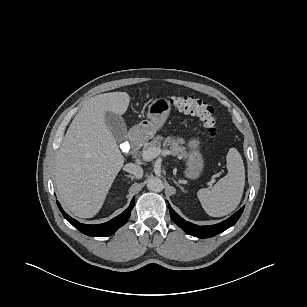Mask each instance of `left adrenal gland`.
<instances>
[{"instance_id": "a2214340", "label": "left adrenal gland", "mask_w": 307, "mask_h": 307, "mask_svg": "<svg viewBox=\"0 0 307 307\" xmlns=\"http://www.w3.org/2000/svg\"><path fill=\"white\" fill-rule=\"evenodd\" d=\"M173 181L183 192H186L185 189L175 179H173Z\"/></svg>"}]
</instances>
